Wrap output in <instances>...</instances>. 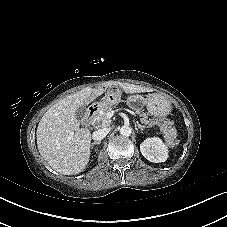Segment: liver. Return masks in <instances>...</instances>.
<instances>
[{
    "mask_svg": "<svg viewBox=\"0 0 227 227\" xmlns=\"http://www.w3.org/2000/svg\"><path fill=\"white\" fill-rule=\"evenodd\" d=\"M118 85L129 94L148 91L144 87L127 83L112 82L107 87ZM91 91L86 88L58 101L38 124L36 137L39 153L60 174H79L89 162L91 133L88 128H80L76 112L92 100Z\"/></svg>",
    "mask_w": 227,
    "mask_h": 227,
    "instance_id": "6515ba94",
    "label": "liver"
}]
</instances>
